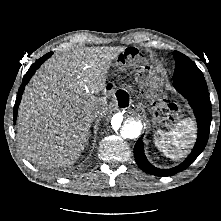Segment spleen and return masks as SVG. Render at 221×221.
Masks as SVG:
<instances>
[{
    "mask_svg": "<svg viewBox=\"0 0 221 221\" xmlns=\"http://www.w3.org/2000/svg\"><path fill=\"white\" fill-rule=\"evenodd\" d=\"M155 145L166 157L172 159L182 158L195 138V125L192 119L177 122L173 129L166 133L158 132Z\"/></svg>",
    "mask_w": 221,
    "mask_h": 221,
    "instance_id": "obj_1",
    "label": "spleen"
}]
</instances>
